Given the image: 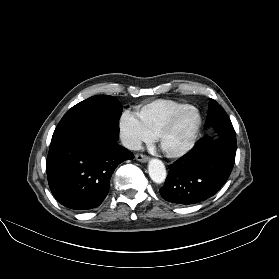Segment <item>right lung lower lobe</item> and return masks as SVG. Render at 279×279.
<instances>
[{"mask_svg":"<svg viewBox=\"0 0 279 279\" xmlns=\"http://www.w3.org/2000/svg\"><path fill=\"white\" fill-rule=\"evenodd\" d=\"M118 133L117 124L107 121L51 140L47 178L59 203L73 210L92 209L102 203L115 168L134 158L117 144Z\"/></svg>","mask_w":279,"mask_h":279,"instance_id":"1","label":"right lung lower lobe"}]
</instances>
